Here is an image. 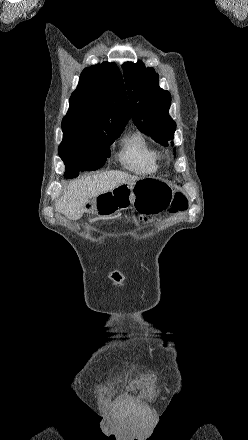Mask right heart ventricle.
Masks as SVG:
<instances>
[{
    "mask_svg": "<svg viewBox=\"0 0 248 440\" xmlns=\"http://www.w3.org/2000/svg\"><path fill=\"white\" fill-rule=\"evenodd\" d=\"M121 165L138 175H149L160 167V153L139 133L124 139L119 151Z\"/></svg>",
    "mask_w": 248,
    "mask_h": 440,
    "instance_id": "right-heart-ventricle-1",
    "label": "right heart ventricle"
}]
</instances>
